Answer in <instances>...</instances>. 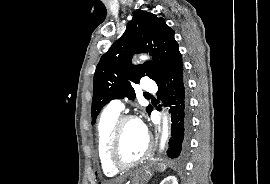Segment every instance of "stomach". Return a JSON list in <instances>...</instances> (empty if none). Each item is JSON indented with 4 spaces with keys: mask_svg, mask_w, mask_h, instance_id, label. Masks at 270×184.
<instances>
[{
    "mask_svg": "<svg viewBox=\"0 0 270 184\" xmlns=\"http://www.w3.org/2000/svg\"><path fill=\"white\" fill-rule=\"evenodd\" d=\"M165 167H161V170H164ZM148 177V170L146 167H143L132 174V184H141L143 180Z\"/></svg>",
    "mask_w": 270,
    "mask_h": 184,
    "instance_id": "1",
    "label": "stomach"
}]
</instances>
